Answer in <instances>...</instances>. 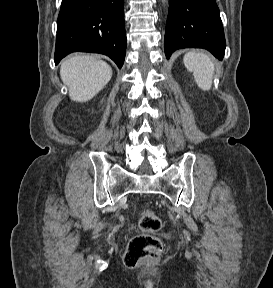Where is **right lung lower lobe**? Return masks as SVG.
I'll list each match as a JSON object with an SVG mask.
<instances>
[{
  "label": "right lung lower lobe",
  "mask_w": 273,
  "mask_h": 288,
  "mask_svg": "<svg viewBox=\"0 0 273 288\" xmlns=\"http://www.w3.org/2000/svg\"><path fill=\"white\" fill-rule=\"evenodd\" d=\"M75 51L107 55L122 67L126 53L124 0H62L55 64Z\"/></svg>",
  "instance_id": "1"
}]
</instances>
